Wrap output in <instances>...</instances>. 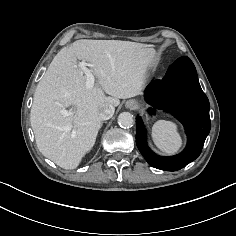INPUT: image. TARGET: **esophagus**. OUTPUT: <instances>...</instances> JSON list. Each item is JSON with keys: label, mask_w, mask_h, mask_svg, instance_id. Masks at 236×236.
I'll list each match as a JSON object with an SVG mask.
<instances>
[{"label": "esophagus", "mask_w": 236, "mask_h": 236, "mask_svg": "<svg viewBox=\"0 0 236 236\" xmlns=\"http://www.w3.org/2000/svg\"><path fill=\"white\" fill-rule=\"evenodd\" d=\"M125 106L129 109L134 110L140 107V103L137 100L131 99L126 102Z\"/></svg>", "instance_id": "obj_1"}]
</instances>
